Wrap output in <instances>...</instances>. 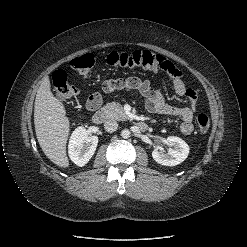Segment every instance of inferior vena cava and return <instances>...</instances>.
I'll list each match as a JSON object with an SVG mask.
<instances>
[{
	"mask_svg": "<svg viewBox=\"0 0 247 247\" xmlns=\"http://www.w3.org/2000/svg\"><path fill=\"white\" fill-rule=\"evenodd\" d=\"M104 128L107 132H110V133L115 132L118 128V123L112 119L107 120L104 123Z\"/></svg>",
	"mask_w": 247,
	"mask_h": 247,
	"instance_id": "1",
	"label": "inferior vena cava"
}]
</instances>
